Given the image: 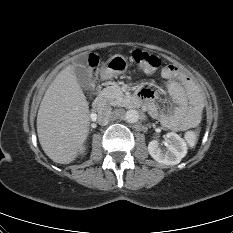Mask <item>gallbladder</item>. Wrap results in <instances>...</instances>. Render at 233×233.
Wrapping results in <instances>:
<instances>
[{
    "instance_id": "gallbladder-1",
    "label": "gallbladder",
    "mask_w": 233,
    "mask_h": 233,
    "mask_svg": "<svg viewBox=\"0 0 233 233\" xmlns=\"http://www.w3.org/2000/svg\"><path fill=\"white\" fill-rule=\"evenodd\" d=\"M88 56L86 54L79 55L75 61V75L82 89L90 90L92 86V77L87 67Z\"/></svg>"
}]
</instances>
